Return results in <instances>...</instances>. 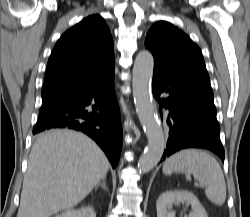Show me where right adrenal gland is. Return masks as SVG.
<instances>
[{"label": "right adrenal gland", "mask_w": 250, "mask_h": 217, "mask_svg": "<svg viewBox=\"0 0 250 217\" xmlns=\"http://www.w3.org/2000/svg\"><path fill=\"white\" fill-rule=\"evenodd\" d=\"M99 186H101V187L104 188L105 190H108V188H107V186H106V178H105V177L102 179V182L99 183V184L96 186L95 189H97Z\"/></svg>", "instance_id": "2a0ac1e0"}]
</instances>
